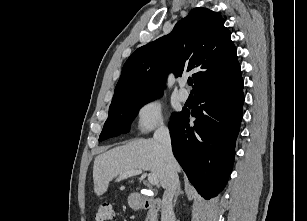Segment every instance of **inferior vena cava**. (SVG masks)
<instances>
[{"mask_svg": "<svg viewBox=\"0 0 307 221\" xmlns=\"http://www.w3.org/2000/svg\"><path fill=\"white\" fill-rule=\"evenodd\" d=\"M156 140L163 148V152L168 161V184L163 195L161 221H175L172 199L179 185L178 163L175 160L169 130L165 126H160L154 133Z\"/></svg>", "mask_w": 307, "mask_h": 221, "instance_id": "1", "label": "inferior vena cava"}]
</instances>
